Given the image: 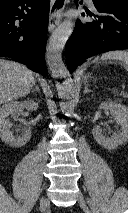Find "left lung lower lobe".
Returning <instances> with one entry per match:
<instances>
[{
	"label": "left lung lower lobe",
	"mask_w": 128,
	"mask_h": 213,
	"mask_svg": "<svg viewBox=\"0 0 128 213\" xmlns=\"http://www.w3.org/2000/svg\"><path fill=\"white\" fill-rule=\"evenodd\" d=\"M92 1L99 14L87 11L94 19L83 23L77 21L66 45V61L71 73L89 57L128 49V0Z\"/></svg>",
	"instance_id": "1"
}]
</instances>
